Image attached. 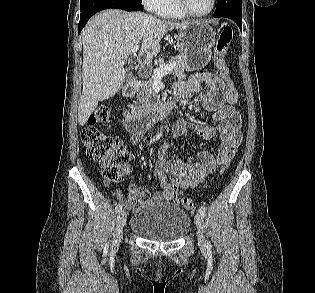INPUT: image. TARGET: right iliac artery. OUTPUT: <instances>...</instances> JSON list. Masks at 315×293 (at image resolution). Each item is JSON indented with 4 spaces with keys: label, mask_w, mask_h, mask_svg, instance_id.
<instances>
[{
    "label": "right iliac artery",
    "mask_w": 315,
    "mask_h": 293,
    "mask_svg": "<svg viewBox=\"0 0 315 293\" xmlns=\"http://www.w3.org/2000/svg\"><path fill=\"white\" fill-rule=\"evenodd\" d=\"M160 136H161L160 134H157L156 136H154V137L151 139L150 143L155 142L157 139L160 138ZM121 210H122V205H121V204H118V205L115 207V212L118 213V212H120Z\"/></svg>",
    "instance_id": "1"
}]
</instances>
